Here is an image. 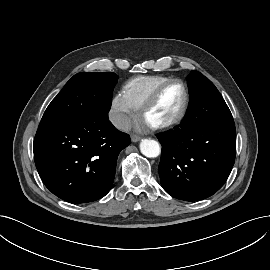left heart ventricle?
I'll return each instance as SVG.
<instances>
[{"mask_svg": "<svg viewBox=\"0 0 270 270\" xmlns=\"http://www.w3.org/2000/svg\"><path fill=\"white\" fill-rule=\"evenodd\" d=\"M183 99L184 90L180 84L168 86L149 110L144 121L148 124H154L168 119L179 109Z\"/></svg>", "mask_w": 270, "mask_h": 270, "instance_id": "left-heart-ventricle-1", "label": "left heart ventricle"}]
</instances>
